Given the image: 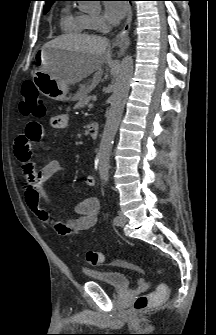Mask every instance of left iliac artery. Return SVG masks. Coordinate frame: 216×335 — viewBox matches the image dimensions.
<instances>
[{
	"label": "left iliac artery",
	"mask_w": 216,
	"mask_h": 335,
	"mask_svg": "<svg viewBox=\"0 0 216 335\" xmlns=\"http://www.w3.org/2000/svg\"><path fill=\"white\" fill-rule=\"evenodd\" d=\"M118 221H119V217H118V216H115V217L113 218V223L116 224Z\"/></svg>",
	"instance_id": "left-iliac-artery-1"
}]
</instances>
